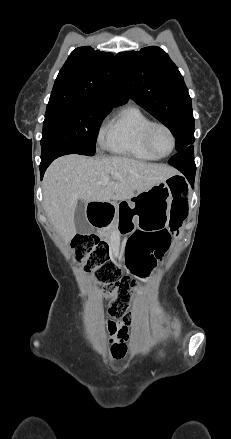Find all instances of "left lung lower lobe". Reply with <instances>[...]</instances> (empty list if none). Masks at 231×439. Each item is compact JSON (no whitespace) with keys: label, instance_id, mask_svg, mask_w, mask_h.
<instances>
[{"label":"left lung lower lobe","instance_id":"0a47b994","mask_svg":"<svg viewBox=\"0 0 231 439\" xmlns=\"http://www.w3.org/2000/svg\"><path fill=\"white\" fill-rule=\"evenodd\" d=\"M168 163L177 168L180 172H182L188 179L190 184L193 186L196 166L194 162V152L192 145H189L188 147L179 151L177 154L170 158Z\"/></svg>","mask_w":231,"mask_h":439}]
</instances>
